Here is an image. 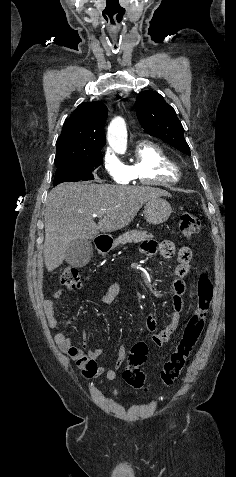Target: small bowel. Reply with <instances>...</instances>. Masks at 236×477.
Listing matches in <instances>:
<instances>
[{
    "instance_id": "c3829d8e",
    "label": "small bowel",
    "mask_w": 236,
    "mask_h": 477,
    "mask_svg": "<svg viewBox=\"0 0 236 477\" xmlns=\"http://www.w3.org/2000/svg\"><path fill=\"white\" fill-rule=\"evenodd\" d=\"M141 251L146 256H153L159 254L165 259L171 258L176 253L175 244L170 240L156 243L154 241H145L141 245ZM178 265L175 268V276L178 278L173 282V294H172V314L167 325L160 331H157L156 321L153 318H149L147 321V327L152 332L153 343L156 347H164L170 340L173 333L177 330L181 314L184 307L183 296L185 294V285L179 278L184 277L190 270L191 251L188 247H181L177 251ZM121 285L119 282L110 283L102 292L101 302L105 305L111 304L116 296L120 292ZM63 292L57 290L53 294V299H48L43 302V310L48 323V326L52 329L58 325L56 317V310L54 301H58L62 298ZM87 339V333L84 334V340ZM56 344L60 350L66 354L76 365L80 368L83 376L87 378L97 377L104 375L107 380H113L116 377V370L122 368L127 356V348L120 346L117 352V359L113 369L105 370L102 366L98 365L96 360L102 354L101 348H95L87 352L82 349L73 346L70 339L64 333H56L54 336Z\"/></svg>"
}]
</instances>
